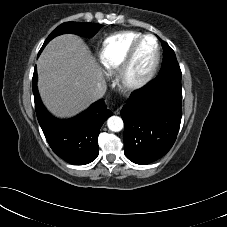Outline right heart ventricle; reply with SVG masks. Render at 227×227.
Listing matches in <instances>:
<instances>
[{
    "label": "right heart ventricle",
    "instance_id": "1",
    "mask_svg": "<svg viewBox=\"0 0 227 227\" xmlns=\"http://www.w3.org/2000/svg\"><path fill=\"white\" fill-rule=\"evenodd\" d=\"M142 35L136 31H122L105 38L98 52L102 66L108 72L118 70L132 44Z\"/></svg>",
    "mask_w": 227,
    "mask_h": 227
}]
</instances>
